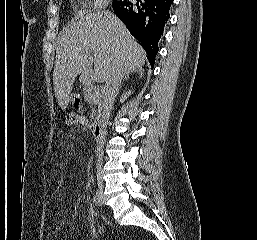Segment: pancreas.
Segmentation results:
<instances>
[{"label":"pancreas","instance_id":"obj_1","mask_svg":"<svg viewBox=\"0 0 257 240\" xmlns=\"http://www.w3.org/2000/svg\"><path fill=\"white\" fill-rule=\"evenodd\" d=\"M84 99L89 104H100V98L101 96L99 94H96L93 92V88L91 86H85L84 87Z\"/></svg>","mask_w":257,"mask_h":240}]
</instances>
